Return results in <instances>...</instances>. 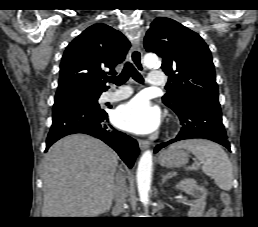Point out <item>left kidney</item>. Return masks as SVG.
I'll return each mask as SVG.
<instances>
[{
	"label": "left kidney",
	"instance_id": "5707ae66",
	"mask_svg": "<svg viewBox=\"0 0 258 227\" xmlns=\"http://www.w3.org/2000/svg\"><path fill=\"white\" fill-rule=\"evenodd\" d=\"M175 187L195 197V200L191 203L189 216L202 217L206 206V190L198 186L196 181L191 178L181 180Z\"/></svg>",
	"mask_w": 258,
	"mask_h": 227
}]
</instances>
